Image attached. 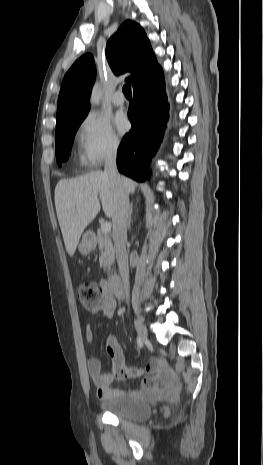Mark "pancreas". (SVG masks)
Masks as SVG:
<instances>
[{"mask_svg": "<svg viewBox=\"0 0 263 465\" xmlns=\"http://www.w3.org/2000/svg\"><path fill=\"white\" fill-rule=\"evenodd\" d=\"M97 242L101 252V257L99 259L100 267H103L104 271L109 273L111 266L115 261V251L111 238L107 233H104L102 230L98 229Z\"/></svg>", "mask_w": 263, "mask_h": 465, "instance_id": "obj_1", "label": "pancreas"}]
</instances>
